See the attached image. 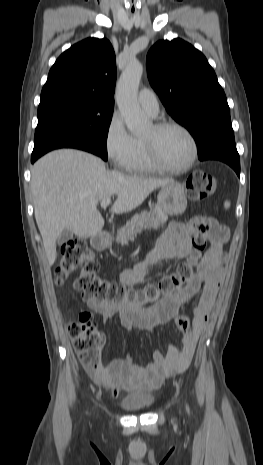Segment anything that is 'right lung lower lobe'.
Listing matches in <instances>:
<instances>
[{"label":"right lung lower lobe","mask_w":263,"mask_h":465,"mask_svg":"<svg viewBox=\"0 0 263 465\" xmlns=\"http://www.w3.org/2000/svg\"><path fill=\"white\" fill-rule=\"evenodd\" d=\"M59 148H76L98 155L97 151L84 141L75 138H63L44 145L38 151H33L31 156V162L34 163L39 157H41L45 153Z\"/></svg>","instance_id":"right-lung-lower-lobe-1"}]
</instances>
